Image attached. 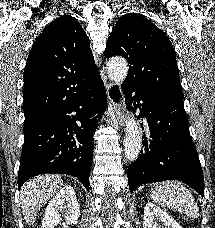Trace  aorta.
<instances>
[{
  "label": "aorta",
  "instance_id": "762f6f07",
  "mask_svg": "<svg viewBox=\"0 0 215 228\" xmlns=\"http://www.w3.org/2000/svg\"><path fill=\"white\" fill-rule=\"evenodd\" d=\"M129 66L124 58H112L108 62V76L115 82V84H123L128 74ZM126 134L124 138V154L127 160L134 162L139 156V152L142 146V136L139 128V124L136 122L131 112L126 114Z\"/></svg>",
  "mask_w": 215,
  "mask_h": 228
}]
</instances>
